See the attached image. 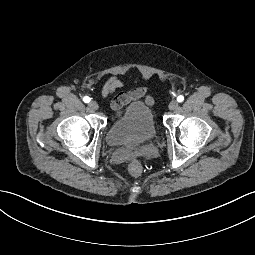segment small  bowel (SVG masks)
<instances>
[{"mask_svg": "<svg viewBox=\"0 0 255 255\" xmlns=\"http://www.w3.org/2000/svg\"><path fill=\"white\" fill-rule=\"evenodd\" d=\"M124 86V82L118 75H113L104 84L101 96L103 98H110L114 95L115 91ZM145 97L148 104H152L153 100L150 96L146 95V91L142 88H137L128 92H121L111 99V107L117 115L121 114L124 106L132 100ZM134 153L119 156L116 158L117 161L122 162L133 156Z\"/></svg>", "mask_w": 255, "mask_h": 255, "instance_id": "small-bowel-1", "label": "small bowel"}]
</instances>
